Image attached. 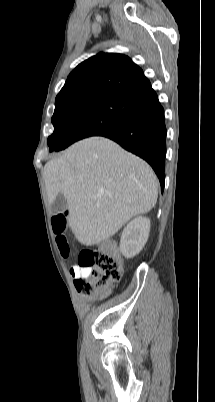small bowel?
I'll return each mask as SVG.
<instances>
[{
    "mask_svg": "<svg viewBox=\"0 0 215 402\" xmlns=\"http://www.w3.org/2000/svg\"><path fill=\"white\" fill-rule=\"evenodd\" d=\"M90 272V268H81L78 265H73L70 269V274L74 278V280L87 277L89 276Z\"/></svg>",
    "mask_w": 215,
    "mask_h": 402,
    "instance_id": "obj_1",
    "label": "small bowel"
}]
</instances>
